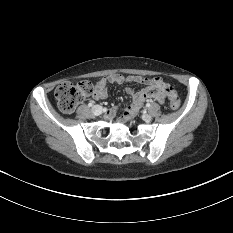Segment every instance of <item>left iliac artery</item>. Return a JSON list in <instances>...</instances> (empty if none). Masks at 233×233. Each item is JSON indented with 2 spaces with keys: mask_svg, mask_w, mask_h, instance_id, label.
<instances>
[{
  "mask_svg": "<svg viewBox=\"0 0 233 233\" xmlns=\"http://www.w3.org/2000/svg\"><path fill=\"white\" fill-rule=\"evenodd\" d=\"M146 107H150V103H147V104H146Z\"/></svg>",
  "mask_w": 233,
  "mask_h": 233,
  "instance_id": "left-iliac-artery-1",
  "label": "left iliac artery"
}]
</instances>
